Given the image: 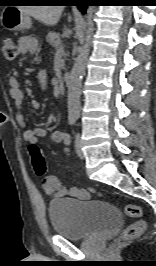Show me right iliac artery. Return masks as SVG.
<instances>
[{"label":"right iliac artery","instance_id":"1","mask_svg":"<svg viewBox=\"0 0 156 266\" xmlns=\"http://www.w3.org/2000/svg\"><path fill=\"white\" fill-rule=\"evenodd\" d=\"M76 119H77V116H75V115H70V116H69V124H70V125H74L75 122H76Z\"/></svg>","mask_w":156,"mask_h":266}]
</instances>
